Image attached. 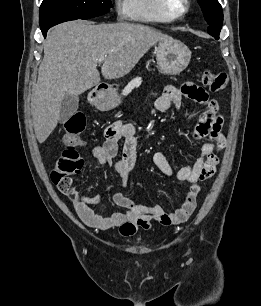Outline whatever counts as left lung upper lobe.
Instances as JSON below:
<instances>
[{"label":"left lung upper lobe","instance_id":"left-lung-upper-lobe-1","mask_svg":"<svg viewBox=\"0 0 261 306\" xmlns=\"http://www.w3.org/2000/svg\"><path fill=\"white\" fill-rule=\"evenodd\" d=\"M197 1L202 8L205 20L209 24L208 33L213 37H219L223 24V12L218 0Z\"/></svg>","mask_w":261,"mask_h":306}]
</instances>
